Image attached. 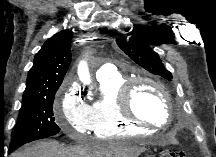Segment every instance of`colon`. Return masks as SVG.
I'll use <instances>...</instances> for the list:
<instances>
[{
	"label": "colon",
	"instance_id": "colon-1",
	"mask_svg": "<svg viewBox=\"0 0 216 157\" xmlns=\"http://www.w3.org/2000/svg\"><path fill=\"white\" fill-rule=\"evenodd\" d=\"M187 152L184 149H175L165 152L162 157H186Z\"/></svg>",
	"mask_w": 216,
	"mask_h": 157
}]
</instances>
